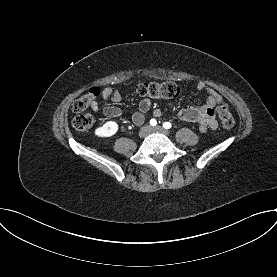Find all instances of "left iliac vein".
I'll return each mask as SVG.
<instances>
[{
	"label": "left iliac vein",
	"instance_id": "left-iliac-vein-1",
	"mask_svg": "<svg viewBox=\"0 0 277 277\" xmlns=\"http://www.w3.org/2000/svg\"><path fill=\"white\" fill-rule=\"evenodd\" d=\"M150 132H153V133H162L164 135H169V131L164 129L163 127L161 126H155L153 128L150 129Z\"/></svg>",
	"mask_w": 277,
	"mask_h": 277
}]
</instances>
